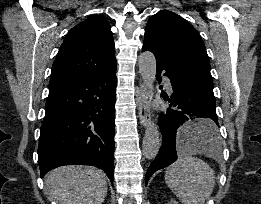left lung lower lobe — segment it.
Instances as JSON below:
<instances>
[{
	"instance_id": "0a47b994",
	"label": "left lung lower lobe",
	"mask_w": 261,
	"mask_h": 204,
	"mask_svg": "<svg viewBox=\"0 0 261 204\" xmlns=\"http://www.w3.org/2000/svg\"><path fill=\"white\" fill-rule=\"evenodd\" d=\"M143 51H146L143 49ZM165 71L172 85L171 99L163 93L167 109L159 116V126L162 134V146L157 157L149 166L145 185L150 176L177 159V151L181 146L192 147L199 141H215L218 138V120L213 87L167 68L157 62L156 79L161 82V72ZM199 119L203 122L190 132L182 133L181 126L190 120Z\"/></svg>"
}]
</instances>
